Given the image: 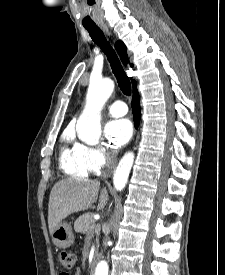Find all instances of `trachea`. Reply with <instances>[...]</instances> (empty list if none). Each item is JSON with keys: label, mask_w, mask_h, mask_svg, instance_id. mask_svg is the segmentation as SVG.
<instances>
[{"label": "trachea", "mask_w": 225, "mask_h": 275, "mask_svg": "<svg viewBox=\"0 0 225 275\" xmlns=\"http://www.w3.org/2000/svg\"><path fill=\"white\" fill-rule=\"evenodd\" d=\"M86 30L89 32L92 40L100 46V48L102 49V51L105 53V55L107 56L112 71L117 79L118 85L121 89V91L125 94V95H131V83L130 80L128 78V76L126 75L115 51L113 50V48L111 47V45L109 44V42L106 40L103 32L101 31V29L97 26L94 27H85Z\"/></svg>", "instance_id": "obj_1"}]
</instances>
